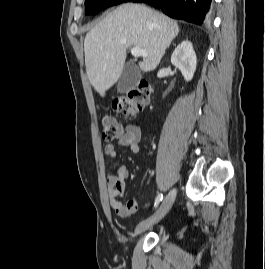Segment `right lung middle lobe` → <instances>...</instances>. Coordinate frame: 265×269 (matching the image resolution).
<instances>
[{"label":"right lung middle lobe","mask_w":265,"mask_h":269,"mask_svg":"<svg viewBox=\"0 0 265 269\" xmlns=\"http://www.w3.org/2000/svg\"><path fill=\"white\" fill-rule=\"evenodd\" d=\"M128 0H85V14H97L104 8L114 6Z\"/></svg>","instance_id":"obj_1"}]
</instances>
